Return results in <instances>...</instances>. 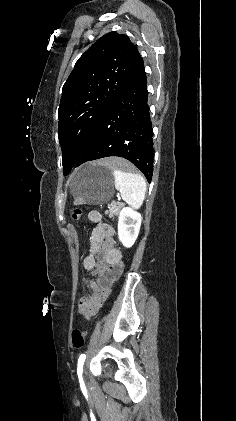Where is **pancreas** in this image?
Instances as JSON below:
<instances>
[{"mask_svg":"<svg viewBox=\"0 0 236 421\" xmlns=\"http://www.w3.org/2000/svg\"><path fill=\"white\" fill-rule=\"evenodd\" d=\"M121 206H123V202H111L109 211H105V215L114 219V215H119Z\"/></svg>","mask_w":236,"mask_h":421,"instance_id":"1","label":"pancreas"}]
</instances>
